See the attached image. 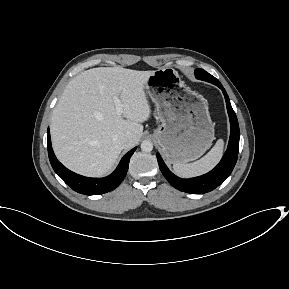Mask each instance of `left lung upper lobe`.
I'll return each instance as SVG.
<instances>
[{
    "label": "left lung upper lobe",
    "mask_w": 289,
    "mask_h": 289,
    "mask_svg": "<svg viewBox=\"0 0 289 289\" xmlns=\"http://www.w3.org/2000/svg\"><path fill=\"white\" fill-rule=\"evenodd\" d=\"M195 76H196L197 79L210 82V83H212V84H214L216 86L221 85V83L219 82L218 79H216L214 76H212L211 74H209L208 72H206L203 69L197 68L195 70Z\"/></svg>",
    "instance_id": "left-lung-upper-lobe-1"
}]
</instances>
